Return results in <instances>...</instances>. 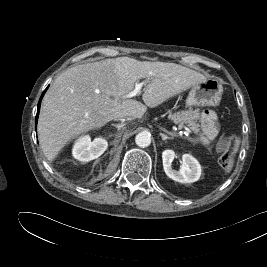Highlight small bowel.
I'll list each match as a JSON object with an SVG mask.
<instances>
[{
  "instance_id": "obj_1",
  "label": "small bowel",
  "mask_w": 267,
  "mask_h": 267,
  "mask_svg": "<svg viewBox=\"0 0 267 267\" xmlns=\"http://www.w3.org/2000/svg\"><path fill=\"white\" fill-rule=\"evenodd\" d=\"M202 127V140L208 142L217 135V116L210 110H205L200 114Z\"/></svg>"
}]
</instances>
